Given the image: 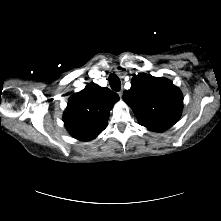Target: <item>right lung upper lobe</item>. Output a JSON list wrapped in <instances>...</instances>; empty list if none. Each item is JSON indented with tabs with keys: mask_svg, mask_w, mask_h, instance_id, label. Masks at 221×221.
<instances>
[{
	"mask_svg": "<svg viewBox=\"0 0 221 221\" xmlns=\"http://www.w3.org/2000/svg\"><path fill=\"white\" fill-rule=\"evenodd\" d=\"M119 96L108 88L94 83L71 96L63 121L70 134L81 141H89L107 126L109 113Z\"/></svg>",
	"mask_w": 221,
	"mask_h": 221,
	"instance_id": "cb5924a9",
	"label": "right lung upper lobe"
}]
</instances>
